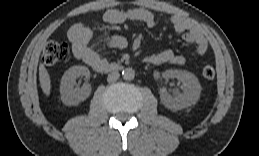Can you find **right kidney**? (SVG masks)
<instances>
[{"label": "right kidney", "instance_id": "ca27d5eb", "mask_svg": "<svg viewBox=\"0 0 259 156\" xmlns=\"http://www.w3.org/2000/svg\"><path fill=\"white\" fill-rule=\"evenodd\" d=\"M79 76L90 78V71L85 66H72L62 76L60 84V94L62 102L67 106L78 105L86 100L91 94L90 84L84 83L81 88H74L76 79Z\"/></svg>", "mask_w": 259, "mask_h": 156}]
</instances>
